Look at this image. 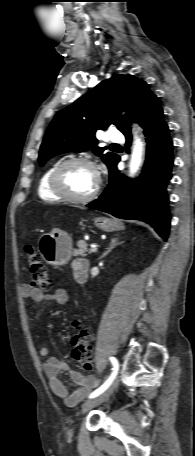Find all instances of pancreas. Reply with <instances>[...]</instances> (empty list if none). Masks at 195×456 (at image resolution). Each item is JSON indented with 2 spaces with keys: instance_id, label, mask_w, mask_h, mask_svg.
Returning <instances> with one entry per match:
<instances>
[{
  "instance_id": "pancreas-1",
  "label": "pancreas",
  "mask_w": 195,
  "mask_h": 456,
  "mask_svg": "<svg viewBox=\"0 0 195 456\" xmlns=\"http://www.w3.org/2000/svg\"><path fill=\"white\" fill-rule=\"evenodd\" d=\"M89 254L87 243L83 240L77 242V249L73 250L74 256H87Z\"/></svg>"
}]
</instances>
